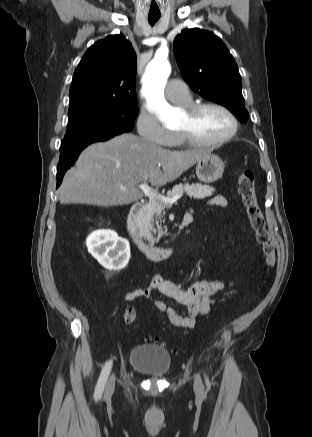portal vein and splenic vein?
I'll use <instances>...</instances> for the list:
<instances>
[{"instance_id": "18ae733b", "label": "portal vein and splenic vein", "mask_w": 312, "mask_h": 437, "mask_svg": "<svg viewBox=\"0 0 312 437\" xmlns=\"http://www.w3.org/2000/svg\"><path fill=\"white\" fill-rule=\"evenodd\" d=\"M138 188L142 190V192L151 200V201H155V200H161L163 202H165L166 204H169L170 206L175 203L180 197L181 195H176L174 197L171 198H166L164 196H162L161 194H159L157 192V190L149 187L146 183L143 184H139ZM121 189L125 190V187H121Z\"/></svg>"}]
</instances>
